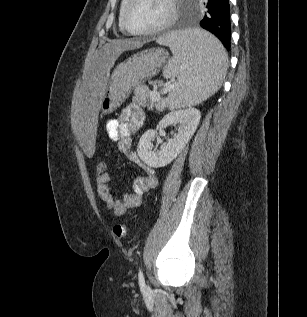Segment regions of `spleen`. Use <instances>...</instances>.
<instances>
[{"instance_id": "1", "label": "spleen", "mask_w": 307, "mask_h": 317, "mask_svg": "<svg viewBox=\"0 0 307 317\" xmlns=\"http://www.w3.org/2000/svg\"><path fill=\"white\" fill-rule=\"evenodd\" d=\"M155 44L169 46L173 57L163 71L177 78L168 96L170 109L197 105L221 86L227 72V54L221 42L200 26H181L176 33H160Z\"/></svg>"}]
</instances>
